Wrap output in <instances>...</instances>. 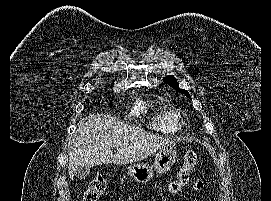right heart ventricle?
Returning <instances> with one entry per match:
<instances>
[{
  "instance_id": "right-heart-ventricle-1",
  "label": "right heart ventricle",
  "mask_w": 271,
  "mask_h": 201,
  "mask_svg": "<svg viewBox=\"0 0 271 201\" xmlns=\"http://www.w3.org/2000/svg\"><path fill=\"white\" fill-rule=\"evenodd\" d=\"M152 127L160 132L175 133L182 127L181 114L171 107L160 108L152 118Z\"/></svg>"
}]
</instances>
